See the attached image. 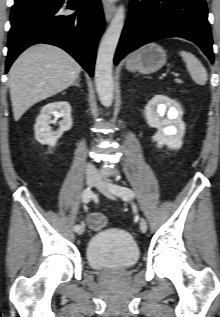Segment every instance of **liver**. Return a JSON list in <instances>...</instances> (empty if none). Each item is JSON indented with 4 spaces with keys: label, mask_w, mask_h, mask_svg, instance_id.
<instances>
[{
    "label": "liver",
    "mask_w": 220,
    "mask_h": 317,
    "mask_svg": "<svg viewBox=\"0 0 220 317\" xmlns=\"http://www.w3.org/2000/svg\"><path fill=\"white\" fill-rule=\"evenodd\" d=\"M81 69L73 57L56 46L38 44L25 50L9 70L14 120L35 103L71 86Z\"/></svg>",
    "instance_id": "6515ba94"
}]
</instances>
